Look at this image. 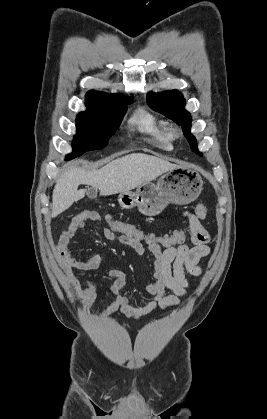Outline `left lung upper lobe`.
<instances>
[{"instance_id":"5c2ea615","label":"left lung upper lobe","mask_w":267,"mask_h":419,"mask_svg":"<svg viewBox=\"0 0 267 419\" xmlns=\"http://www.w3.org/2000/svg\"><path fill=\"white\" fill-rule=\"evenodd\" d=\"M147 103L153 110L166 115L168 118L181 125L192 151L202 156V153L198 151L195 137L190 133L192 121L191 115L185 110V99L179 91L171 90L161 93L149 92L147 95Z\"/></svg>"}]
</instances>
